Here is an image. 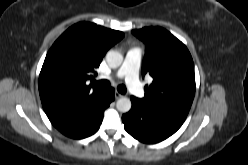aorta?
<instances>
[{
  "label": "aorta",
  "instance_id": "1",
  "mask_svg": "<svg viewBox=\"0 0 248 165\" xmlns=\"http://www.w3.org/2000/svg\"><path fill=\"white\" fill-rule=\"evenodd\" d=\"M106 60L113 68L119 67L123 62V55L115 50H110L106 54ZM131 100L127 97H121L116 102V108L122 113H126L131 109Z\"/></svg>",
  "mask_w": 248,
  "mask_h": 165
}]
</instances>
